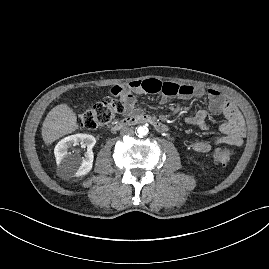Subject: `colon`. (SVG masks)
Returning a JSON list of instances; mask_svg holds the SVG:
<instances>
[{"instance_id": "colon-1", "label": "colon", "mask_w": 269, "mask_h": 269, "mask_svg": "<svg viewBox=\"0 0 269 269\" xmlns=\"http://www.w3.org/2000/svg\"><path fill=\"white\" fill-rule=\"evenodd\" d=\"M111 94V96L106 97L80 114L77 118L78 127L95 130L108 125L115 115L123 109L120 93L112 89ZM235 154V148L223 145L214 149L213 159L218 164L227 165L232 161Z\"/></svg>"}]
</instances>
